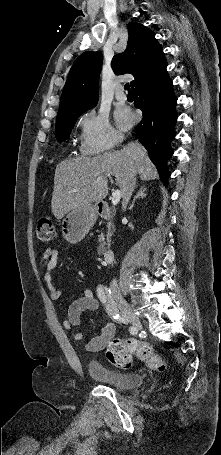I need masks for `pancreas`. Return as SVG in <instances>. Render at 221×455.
Segmentation results:
<instances>
[{"label": "pancreas", "instance_id": "1", "mask_svg": "<svg viewBox=\"0 0 221 455\" xmlns=\"http://www.w3.org/2000/svg\"><path fill=\"white\" fill-rule=\"evenodd\" d=\"M115 225L112 221L107 223V232L106 235L101 234L98 238L100 245L98 246V254H103L106 248V245L110 243L111 237L114 234Z\"/></svg>", "mask_w": 221, "mask_h": 455}]
</instances>
